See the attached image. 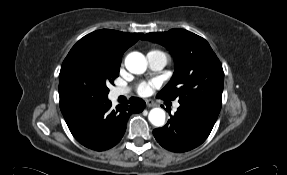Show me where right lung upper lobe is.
I'll return each mask as SVG.
<instances>
[{
    "mask_svg": "<svg viewBox=\"0 0 287 175\" xmlns=\"http://www.w3.org/2000/svg\"><path fill=\"white\" fill-rule=\"evenodd\" d=\"M142 33H125L102 29L80 39L65 58V63L77 49L86 47L91 57L107 65H120L123 53L139 40Z\"/></svg>",
    "mask_w": 287,
    "mask_h": 175,
    "instance_id": "cb5924a9",
    "label": "right lung upper lobe"
}]
</instances>
